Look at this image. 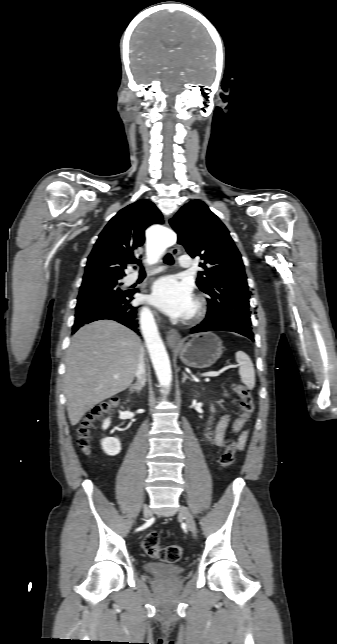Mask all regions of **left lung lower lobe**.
<instances>
[{"mask_svg":"<svg viewBox=\"0 0 337 644\" xmlns=\"http://www.w3.org/2000/svg\"><path fill=\"white\" fill-rule=\"evenodd\" d=\"M206 331H231L248 337L254 341L252 329L241 326L233 321L221 317H208L204 321L192 328V333Z\"/></svg>","mask_w":337,"mask_h":644,"instance_id":"0a47b994","label":"left lung lower lobe"}]
</instances>
